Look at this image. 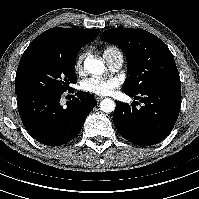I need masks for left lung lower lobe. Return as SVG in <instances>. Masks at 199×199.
Wrapping results in <instances>:
<instances>
[{"mask_svg": "<svg viewBox=\"0 0 199 199\" xmlns=\"http://www.w3.org/2000/svg\"><path fill=\"white\" fill-rule=\"evenodd\" d=\"M144 103L140 109L116 101L113 123L122 137L139 146L161 142L173 129L181 106V86L147 89L139 94L123 91Z\"/></svg>", "mask_w": 199, "mask_h": 199, "instance_id": "1", "label": "left lung lower lobe"}]
</instances>
